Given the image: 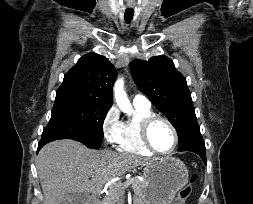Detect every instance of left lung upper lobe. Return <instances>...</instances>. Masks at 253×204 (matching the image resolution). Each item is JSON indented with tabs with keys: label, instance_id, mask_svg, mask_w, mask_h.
<instances>
[{
	"label": "left lung upper lobe",
	"instance_id": "left-lung-upper-lobe-1",
	"mask_svg": "<svg viewBox=\"0 0 253 204\" xmlns=\"http://www.w3.org/2000/svg\"><path fill=\"white\" fill-rule=\"evenodd\" d=\"M129 66L140 91L175 127L179 146L187 143L197 120L185 77L175 69L172 60L163 55L149 61L134 60Z\"/></svg>",
	"mask_w": 253,
	"mask_h": 204
}]
</instances>
